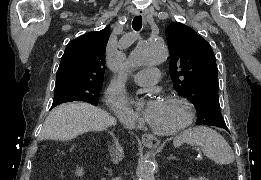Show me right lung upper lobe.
I'll list each match as a JSON object with an SVG mask.
<instances>
[{
	"mask_svg": "<svg viewBox=\"0 0 261 180\" xmlns=\"http://www.w3.org/2000/svg\"><path fill=\"white\" fill-rule=\"evenodd\" d=\"M108 29L90 32L68 43L57 71L56 86L103 83Z\"/></svg>",
	"mask_w": 261,
	"mask_h": 180,
	"instance_id": "obj_1",
	"label": "right lung upper lobe"
}]
</instances>
